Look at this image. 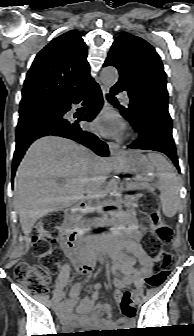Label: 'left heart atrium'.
Here are the masks:
<instances>
[{
    "mask_svg": "<svg viewBox=\"0 0 194 336\" xmlns=\"http://www.w3.org/2000/svg\"><path fill=\"white\" fill-rule=\"evenodd\" d=\"M93 129L107 136L116 135L122 129V122L119 117L112 112H104L92 124Z\"/></svg>",
    "mask_w": 194,
    "mask_h": 336,
    "instance_id": "39dd6f15",
    "label": "left heart atrium"
}]
</instances>
